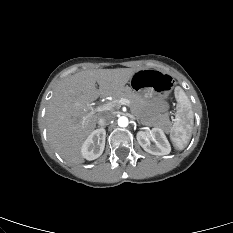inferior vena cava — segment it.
<instances>
[{
    "label": "inferior vena cava",
    "mask_w": 233,
    "mask_h": 233,
    "mask_svg": "<svg viewBox=\"0 0 233 233\" xmlns=\"http://www.w3.org/2000/svg\"><path fill=\"white\" fill-rule=\"evenodd\" d=\"M114 116L110 112H105L103 113L99 118H98V124L100 126H105L109 124L113 120Z\"/></svg>",
    "instance_id": "inferior-vena-cava-1"
}]
</instances>
